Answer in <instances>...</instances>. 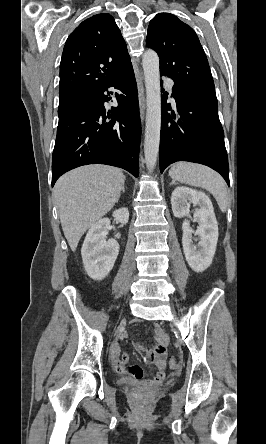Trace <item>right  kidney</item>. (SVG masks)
<instances>
[{"label":"right kidney","mask_w":266,"mask_h":444,"mask_svg":"<svg viewBox=\"0 0 266 444\" xmlns=\"http://www.w3.org/2000/svg\"><path fill=\"white\" fill-rule=\"evenodd\" d=\"M113 217L126 224L129 211L127 208H120L114 211ZM109 227L108 218L97 221L89 229L81 249L85 271L94 280H102L110 273L119 253L118 242L115 239L106 240ZM115 237L120 238V234L117 233Z\"/></svg>","instance_id":"right-kidney-1"}]
</instances>
